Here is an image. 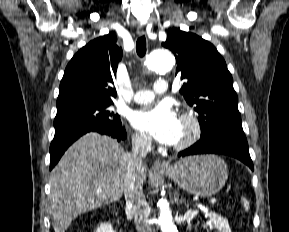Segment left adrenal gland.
I'll return each instance as SVG.
<instances>
[{
  "mask_svg": "<svg viewBox=\"0 0 289 232\" xmlns=\"http://www.w3.org/2000/svg\"><path fill=\"white\" fill-rule=\"evenodd\" d=\"M175 202H176L177 204L182 203V199L179 200L177 197H175Z\"/></svg>",
  "mask_w": 289,
  "mask_h": 232,
  "instance_id": "1",
  "label": "left adrenal gland"
}]
</instances>
